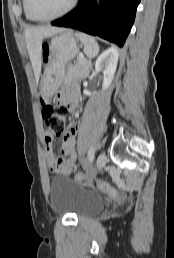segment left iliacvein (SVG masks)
Wrapping results in <instances>:
<instances>
[{
	"mask_svg": "<svg viewBox=\"0 0 174 258\" xmlns=\"http://www.w3.org/2000/svg\"><path fill=\"white\" fill-rule=\"evenodd\" d=\"M106 162H107L106 155L103 153L99 154V156L97 157V160H96L97 169L99 171L102 170L104 168V166L106 165Z\"/></svg>",
	"mask_w": 174,
	"mask_h": 258,
	"instance_id": "left-iliac-vein-1",
	"label": "left iliac vein"
}]
</instances>
